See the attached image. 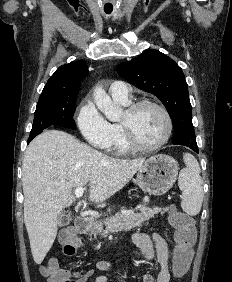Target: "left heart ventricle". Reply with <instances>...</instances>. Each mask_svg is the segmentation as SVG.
Here are the masks:
<instances>
[{
	"label": "left heart ventricle",
	"instance_id": "left-heart-ventricle-1",
	"mask_svg": "<svg viewBox=\"0 0 232 282\" xmlns=\"http://www.w3.org/2000/svg\"><path fill=\"white\" fill-rule=\"evenodd\" d=\"M122 121L130 123L135 138L143 145L156 144L166 132L164 116L151 106H144L131 116L125 112Z\"/></svg>",
	"mask_w": 232,
	"mask_h": 282
}]
</instances>
